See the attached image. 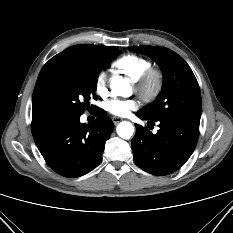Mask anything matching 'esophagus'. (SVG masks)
Masks as SVG:
<instances>
[{
    "label": "esophagus",
    "instance_id": "obj_1",
    "mask_svg": "<svg viewBox=\"0 0 233 233\" xmlns=\"http://www.w3.org/2000/svg\"><path fill=\"white\" fill-rule=\"evenodd\" d=\"M112 121H113V123L116 125V124H118L120 121H122V118L113 116V117H112Z\"/></svg>",
    "mask_w": 233,
    "mask_h": 233
}]
</instances>
